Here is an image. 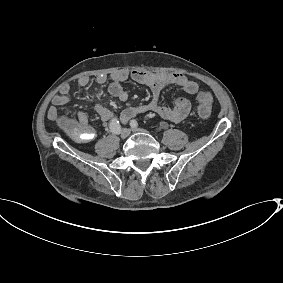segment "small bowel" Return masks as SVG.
Instances as JSON below:
<instances>
[{"label":"small bowel","mask_w":283,"mask_h":283,"mask_svg":"<svg viewBox=\"0 0 283 283\" xmlns=\"http://www.w3.org/2000/svg\"><path fill=\"white\" fill-rule=\"evenodd\" d=\"M109 78L111 80L108 87L109 93L122 102L128 100V93L124 90L123 84L129 79L139 84H144L151 90L152 98L148 103L137 107H127L121 112L120 119L124 123L128 122L136 115L145 112L156 113L163 119L171 122H180L188 116L191 110L190 101L186 97H178L171 107L163 106L159 102L161 93L172 85L180 87L189 95H194L198 93L199 90L197 82L181 73H152L142 70H120L112 73ZM107 80L108 76L105 74L96 77V82L101 85L105 84ZM89 82L90 79L87 76H81L78 79V85L80 87H86ZM69 100L70 86L63 84L58 94L52 99V106L48 110V118L55 123L61 124L62 117L59 113V107L67 104ZM95 111L103 123L110 122L114 116L111 110L100 104L96 105ZM77 120L81 124L88 126V118L84 112L78 113Z\"/></svg>","instance_id":"c3829d8e"}]
</instances>
